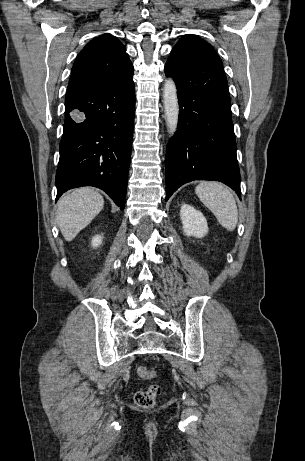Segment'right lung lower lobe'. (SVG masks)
Wrapping results in <instances>:
<instances>
[{"label":"right lung lower lobe","instance_id":"98d812e1","mask_svg":"<svg viewBox=\"0 0 305 461\" xmlns=\"http://www.w3.org/2000/svg\"><path fill=\"white\" fill-rule=\"evenodd\" d=\"M132 76L67 92L56 201L71 188L94 186L125 208L135 108Z\"/></svg>","mask_w":305,"mask_h":461}]
</instances>
